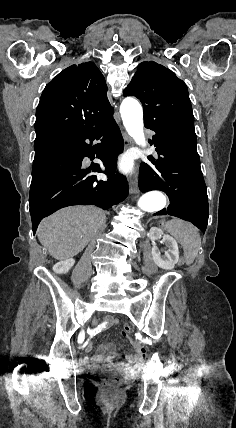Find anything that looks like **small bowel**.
<instances>
[{
	"mask_svg": "<svg viewBox=\"0 0 236 428\" xmlns=\"http://www.w3.org/2000/svg\"><path fill=\"white\" fill-rule=\"evenodd\" d=\"M119 323V319L115 317H106L99 325L90 331V340L87 341L85 350L90 352L92 350L91 338L98 335L105 329L115 326ZM135 355L125 356L124 360L118 363V366L122 369L135 370L141 366L146 357V349L139 341L132 342ZM116 348L113 343H104L99 345L97 353L87 357L86 364L90 368H97L101 364L106 363L107 365L114 364Z\"/></svg>",
	"mask_w": 236,
	"mask_h": 428,
	"instance_id": "c3829d8e",
	"label": "small bowel"
}]
</instances>
